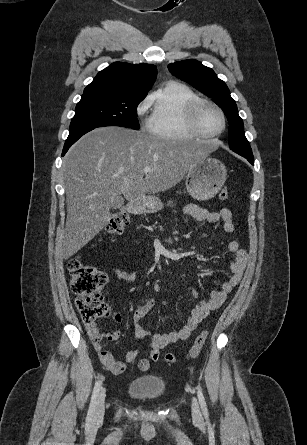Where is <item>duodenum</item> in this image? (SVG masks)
Masks as SVG:
<instances>
[{
	"label": "duodenum",
	"mask_w": 307,
	"mask_h": 445,
	"mask_svg": "<svg viewBox=\"0 0 307 445\" xmlns=\"http://www.w3.org/2000/svg\"><path fill=\"white\" fill-rule=\"evenodd\" d=\"M146 198L140 197L131 201L127 206V211L131 214L141 213L145 207Z\"/></svg>",
	"instance_id": "410a0bca"
}]
</instances>
